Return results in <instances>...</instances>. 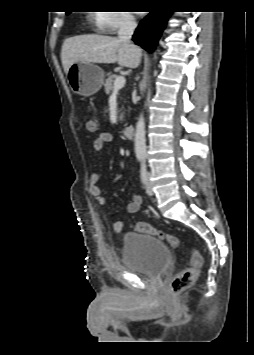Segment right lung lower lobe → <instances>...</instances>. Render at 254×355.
I'll return each mask as SVG.
<instances>
[{
	"mask_svg": "<svg viewBox=\"0 0 254 355\" xmlns=\"http://www.w3.org/2000/svg\"><path fill=\"white\" fill-rule=\"evenodd\" d=\"M172 12L159 10L150 12L133 35V41L147 51H153Z\"/></svg>",
	"mask_w": 254,
	"mask_h": 355,
	"instance_id": "right-lung-lower-lobe-1",
	"label": "right lung lower lobe"
}]
</instances>
